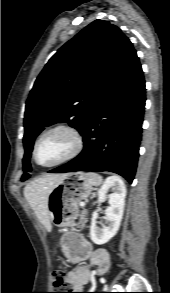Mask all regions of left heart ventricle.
I'll use <instances>...</instances> for the list:
<instances>
[{
  "label": "left heart ventricle",
  "instance_id": "b2bd125f",
  "mask_svg": "<svg viewBox=\"0 0 170 293\" xmlns=\"http://www.w3.org/2000/svg\"><path fill=\"white\" fill-rule=\"evenodd\" d=\"M74 148V138L66 130L47 134L37 148V160L43 164L54 163L67 156Z\"/></svg>",
  "mask_w": 170,
  "mask_h": 293
}]
</instances>
